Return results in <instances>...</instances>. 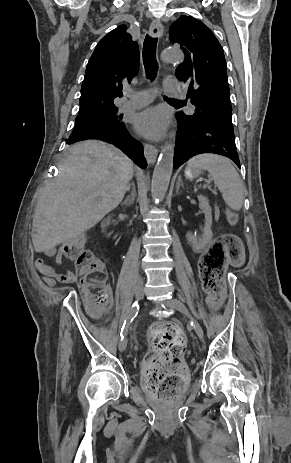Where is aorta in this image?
I'll return each mask as SVG.
<instances>
[{
    "mask_svg": "<svg viewBox=\"0 0 291 463\" xmlns=\"http://www.w3.org/2000/svg\"><path fill=\"white\" fill-rule=\"evenodd\" d=\"M183 59V53L173 47L164 49L162 53V60L164 62H178ZM173 159L174 144L167 142L161 150L152 177L151 193L154 199L162 200L167 192L172 175Z\"/></svg>",
    "mask_w": 291,
    "mask_h": 463,
    "instance_id": "762f6f07",
    "label": "aorta"
}]
</instances>
